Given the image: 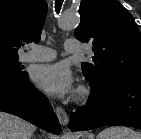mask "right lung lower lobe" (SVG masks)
Wrapping results in <instances>:
<instances>
[{"label":"right lung lower lobe","instance_id":"right-lung-lower-lobe-1","mask_svg":"<svg viewBox=\"0 0 141 139\" xmlns=\"http://www.w3.org/2000/svg\"><path fill=\"white\" fill-rule=\"evenodd\" d=\"M0 111L19 116L48 132H61L50 102L28 76L18 81L0 82Z\"/></svg>","mask_w":141,"mask_h":139}]
</instances>
